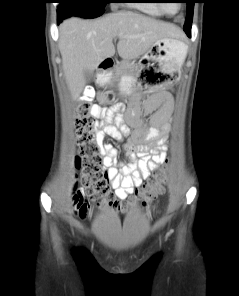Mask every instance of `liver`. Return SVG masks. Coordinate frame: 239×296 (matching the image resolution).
<instances>
[{
    "instance_id": "1",
    "label": "liver",
    "mask_w": 239,
    "mask_h": 296,
    "mask_svg": "<svg viewBox=\"0 0 239 296\" xmlns=\"http://www.w3.org/2000/svg\"><path fill=\"white\" fill-rule=\"evenodd\" d=\"M117 51L126 60L144 54L154 42L164 37L180 38V28L132 11H119L94 21L72 17L59 27L58 47L66 82L73 97H79L98 65Z\"/></svg>"
}]
</instances>
